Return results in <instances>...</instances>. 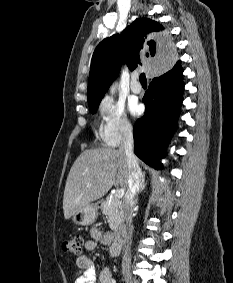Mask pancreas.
<instances>
[{"mask_svg":"<svg viewBox=\"0 0 233 283\" xmlns=\"http://www.w3.org/2000/svg\"><path fill=\"white\" fill-rule=\"evenodd\" d=\"M122 202L115 195L108 196L104 202L102 212L107 215L109 227L117 231L123 221Z\"/></svg>","mask_w":233,"mask_h":283,"instance_id":"cf45deb5","label":"pancreas"}]
</instances>
